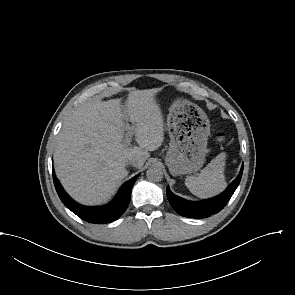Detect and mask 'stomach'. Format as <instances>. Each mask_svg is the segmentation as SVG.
I'll return each instance as SVG.
<instances>
[{
    "label": "stomach",
    "instance_id": "1",
    "mask_svg": "<svg viewBox=\"0 0 295 295\" xmlns=\"http://www.w3.org/2000/svg\"><path fill=\"white\" fill-rule=\"evenodd\" d=\"M167 129L171 141L165 162L171 174L198 171L208 153L210 122L206 113L186 99H177L169 108Z\"/></svg>",
    "mask_w": 295,
    "mask_h": 295
}]
</instances>
